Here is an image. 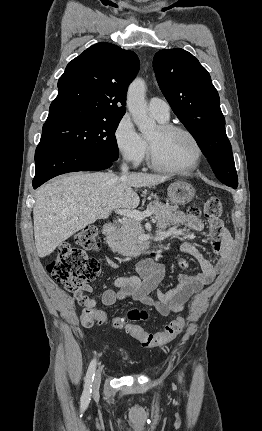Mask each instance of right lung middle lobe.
I'll return each instance as SVG.
<instances>
[{"label": "right lung middle lobe", "mask_w": 262, "mask_h": 431, "mask_svg": "<svg viewBox=\"0 0 262 431\" xmlns=\"http://www.w3.org/2000/svg\"><path fill=\"white\" fill-rule=\"evenodd\" d=\"M121 118H85L44 125L40 143L75 147L116 161L118 146L114 133Z\"/></svg>", "instance_id": "obj_1"}]
</instances>
